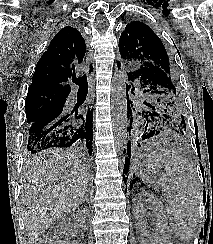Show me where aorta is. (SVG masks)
Instances as JSON below:
<instances>
[{
    "label": "aorta",
    "mask_w": 213,
    "mask_h": 244,
    "mask_svg": "<svg viewBox=\"0 0 213 244\" xmlns=\"http://www.w3.org/2000/svg\"><path fill=\"white\" fill-rule=\"evenodd\" d=\"M112 123L116 148L122 155L127 147L128 118H127V98H126V76L119 73L112 83Z\"/></svg>",
    "instance_id": "aorta-1"
}]
</instances>
